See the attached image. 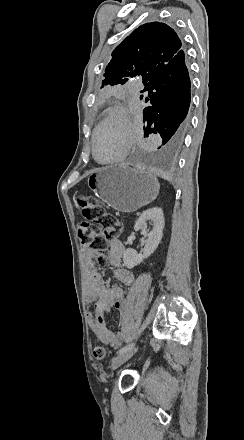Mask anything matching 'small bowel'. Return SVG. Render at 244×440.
Wrapping results in <instances>:
<instances>
[{"instance_id": "c3829d8e", "label": "small bowel", "mask_w": 244, "mask_h": 440, "mask_svg": "<svg viewBox=\"0 0 244 440\" xmlns=\"http://www.w3.org/2000/svg\"><path fill=\"white\" fill-rule=\"evenodd\" d=\"M125 253L123 243L114 238L111 240L106 260L113 268L112 278L119 285H111L104 281L97 271L99 265L98 254L91 250H85L82 254V262L86 278V300L89 305H96L97 314H88L89 327L95 336L104 344L117 348L122 343V334L111 330L106 323V317L113 308H116L122 316L130 312L131 305L126 296L124 287H130L134 283V275L122 265Z\"/></svg>"}]
</instances>
